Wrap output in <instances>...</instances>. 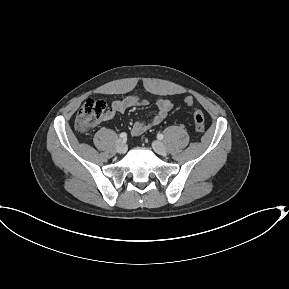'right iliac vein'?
Segmentation results:
<instances>
[{"label": "right iliac vein", "instance_id": "63e3f726", "mask_svg": "<svg viewBox=\"0 0 289 289\" xmlns=\"http://www.w3.org/2000/svg\"><path fill=\"white\" fill-rule=\"evenodd\" d=\"M116 150L118 153H124L126 151V143L124 140L119 139L116 143Z\"/></svg>", "mask_w": 289, "mask_h": 289}]
</instances>
